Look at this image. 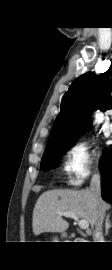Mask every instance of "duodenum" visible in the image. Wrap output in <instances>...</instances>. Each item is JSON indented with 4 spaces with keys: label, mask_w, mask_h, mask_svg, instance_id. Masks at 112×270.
I'll list each match as a JSON object with an SVG mask.
<instances>
[{
    "label": "duodenum",
    "mask_w": 112,
    "mask_h": 270,
    "mask_svg": "<svg viewBox=\"0 0 112 270\" xmlns=\"http://www.w3.org/2000/svg\"><path fill=\"white\" fill-rule=\"evenodd\" d=\"M74 242H82V239L74 238Z\"/></svg>",
    "instance_id": "duodenum-1"
}]
</instances>
